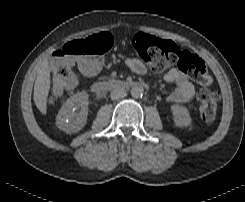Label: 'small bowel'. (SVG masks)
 <instances>
[{"instance_id": "obj_1", "label": "small bowel", "mask_w": 245, "mask_h": 202, "mask_svg": "<svg viewBox=\"0 0 245 202\" xmlns=\"http://www.w3.org/2000/svg\"><path fill=\"white\" fill-rule=\"evenodd\" d=\"M124 66L132 73L143 76L147 73V69L143 62L137 58H127L124 60ZM91 74H96L101 69V64L96 65L95 62L90 63ZM164 80L167 83L174 84L175 89L167 96L170 103H187L195 95V87L189 76L177 67H172L165 75ZM52 103V99L49 100Z\"/></svg>"}]
</instances>
